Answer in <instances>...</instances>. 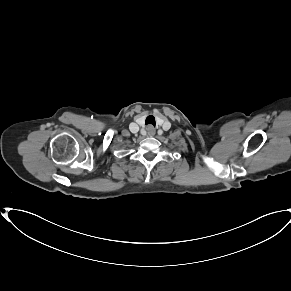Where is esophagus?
Returning <instances> with one entry per match:
<instances>
[{
	"label": "esophagus",
	"instance_id": "34e87169",
	"mask_svg": "<svg viewBox=\"0 0 291 291\" xmlns=\"http://www.w3.org/2000/svg\"><path fill=\"white\" fill-rule=\"evenodd\" d=\"M147 131H148V133H149L150 135H154V133H155V129H154L152 126H149V127L147 128Z\"/></svg>",
	"mask_w": 291,
	"mask_h": 291
}]
</instances>
